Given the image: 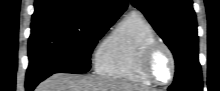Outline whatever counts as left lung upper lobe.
I'll use <instances>...</instances> for the list:
<instances>
[{
  "mask_svg": "<svg viewBox=\"0 0 220 91\" xmlns=\"http://www.w3.org/2000/svg\"><path fill=\"white\" fill-rule=\"evenodd\" d=\"M174 55L176 73L169 91H202L198 35L192 0H130Z\"/></svg>",
  "mask_w": 220,
  "mask_h": 91,
  "instance_id": "obj_1",
  "label": "left lung upper lobe"
}]
</instances>
